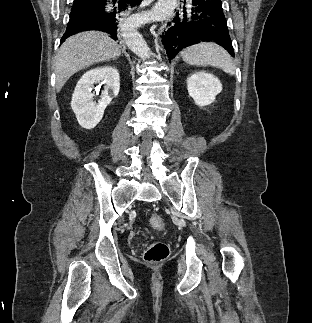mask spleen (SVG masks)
Wrapping results in <instances>:
<instances>
[{"label": "spleen", "instance_id": "obj_1", "mask_svg": "<svg viewBox=\"0 0 312 323\" xmlns=\"http://www.w3.org/2000/svg\"><path fill=\"white\" fill-rule=\"evenodd\" d=\"M181 56L184 62L191 64V66H215V68H222L226 74H231V76L235 74L231 56L224 48L213 44V42L190 46L181 52Z\"/></svg>", "mask_w": 312, "mask_h": 323}]
</instances>
